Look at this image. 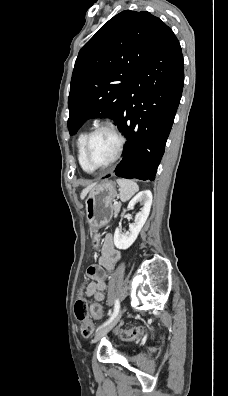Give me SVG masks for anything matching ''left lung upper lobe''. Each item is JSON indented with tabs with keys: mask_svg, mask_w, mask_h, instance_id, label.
<instances>
[{
	"mask_svg": "<svg viewBox=\"0 0 228 396\" xmlns=\"http://www.w3.org/2000/svg\"><path fill=\"white\" fill-rule=\"evenodd\" d=\"M163 27L167 25L147 11L125 10L83 46L68 98L70 135L89 118L108 117L118 122L130 85Z\"/></svg>",
	"mask_w": 228,
	"mask_h": 396,
	"instance_id": "1",
	"label": "left lung upper lobe"
}]
</instances>
